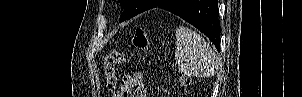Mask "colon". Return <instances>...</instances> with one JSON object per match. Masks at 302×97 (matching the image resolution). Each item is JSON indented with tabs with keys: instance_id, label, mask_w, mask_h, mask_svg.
I'll return each instance as SVG.
<instances>
[{
	"instance_id": "1",
	"label": "colon",
	"mask_w": 302,
	"mask_h": 97,
	"mask_svg": "<svg viewBox=\"0 0 302 97\" xmlns=\"http://www.w3.org/2000/svg\"><path fill=\"white\" fill-rule=\"evenodd\" d=\"M133 44L137 49L147 51L150 49V43L146 31L138 27L134 31ZM125 61V56L122 52L111 51L104 56V75L106 86L108 90H114L117 85V76L115 68L122 65ZM190 79L188 77H182L181 83L183 85L189 84Z\"/></svg>"
}]
</instances>
